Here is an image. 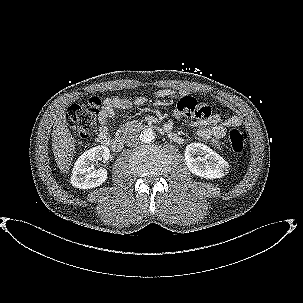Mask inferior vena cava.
<instances>
[{
  "mask_svg": "<svg viewBox=\"0 0 303 303\" xmlns=\"http://www.w3.org/2000/svg\"><path fill=\"white\" fill-rule=\"evenodd\" d=\"M139 138L138 135L136 133H128L126 138H125V143L127 144V146H135L138 144Z\"/></svg>",
  "mask_w": 303,
  "mask_h": 303,
  "instance_id": "602c4592",
  "label": "inferior vena cava"
}]
</instances>
